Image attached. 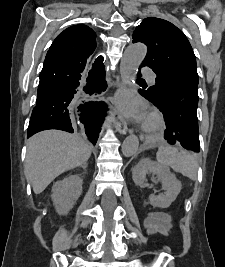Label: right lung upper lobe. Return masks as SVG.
Masks as SVG:
<instances>
[{"mask_svg": "<svg viewBox=\"0 0 225 267\" xmlns=\"http://www.w3.org/2000/svg\"><path fill=\"white\" fill-rule=\"evenodd\" d=\"M50 48L86 49L94 52L96 34L86 25H74L60 33Z\"/></svg>", "mask_w": 225, "mask_h": 267, "instance_id": "right-lung-upper-lobe-1", "label": "right lung upper lobe"}]
</instances>
